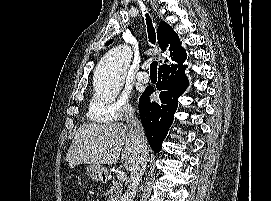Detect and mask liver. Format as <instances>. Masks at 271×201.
Here are the masks:
<instances>
[{
  "instance_id": "obj_1",
  "label": "liver",
  "mask_w": 271,
  "mask_h": 201,
  "mask_svg": "<svg viewBox=\"0 0 271 201\" xmlns=\"http://www.w3.org/2000/svg\"><path fill=\"white\" fill-rule=\"evenodd\" d=\"M127 171L136 156L128 126L124 124H84L70 144L66 160L70 168L79 164H116L120 158Z\"/></svg>"
}]
</instances>
